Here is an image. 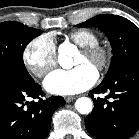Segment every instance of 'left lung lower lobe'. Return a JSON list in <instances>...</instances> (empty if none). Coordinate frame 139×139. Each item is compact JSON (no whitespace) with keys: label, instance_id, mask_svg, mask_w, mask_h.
<instances>
[{"label":"left lung lower lobe","instance_id":"obj_1","mask_svg":"<svg viewBox=\"0 0 139 139\" xmlns=\"http://www.w3.org/2000/svg\"><path fill=\"white\" fill-rule=\"evenodd\" d=\"M105 92L114 101L93 99L94 109L85 119L88 132L95 139H129L139 129V60L90 91V96Z\"/></svg>","mask_w":139,"mask_h":139}]
</instances>
